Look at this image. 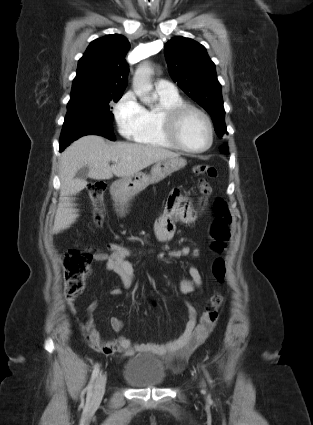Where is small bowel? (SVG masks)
<instances>
[{
    "instance_id": "small-bowel-1",
    "label": "small bowel",
    "mask_w": 313,
    "mask_h": 425,
    "mask_svg": "<svg viewBox=\"0 0 313 425\" xmlns=\"http://www.w3.org/2000/svg\"><path fill=\"white\" fill-rule=\"evenodd\" d=\"M195 220L196 214L190 201L180 194L178 188H175L167 200L163 215L155 224L156 237L160 241H168L174 235L177 222L187 224ZM108 251L109 253L95 252L93 254L94 260L96 262H104L107 270L116 273L120 277L123 288H130L134 282V268L128 260L131 254L130 250L120 244L111 243L108 245ZM194 252L185 246L181 249L170 251L169 256L172 258H182ZM188 272L190 279L183 280L179 286L182 294L192 293L196 289H199L202 284L201 274L195 266L191 265ZM121 293L122 289L119 287L113 288L110 291V294L113 296L120 295ZM75 301V298L67 299L72 314H76ZM96 307V302L88 306L85 320L79 323V327L87 342L105 355L122 352L126 356H131L136 352H153L170 357L175 355L188 357L197 346L204 342L217 320V312H212L210 300L200 315L197 314L195 308L190 303H187L188 320L181 335L174 340L162 344L155 342L140 343L131 341L123 336L114 340H105L101 337L92 317V313ZM110 325L113 331L119 332L122 330L124 323L118 317H111Z\"/></svg>"
}]
</instances>
